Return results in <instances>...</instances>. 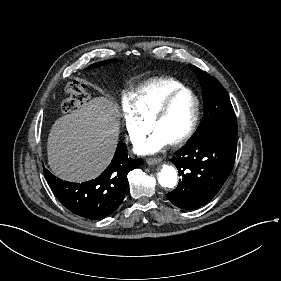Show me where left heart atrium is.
<instances>
[{"mask_svg": "<svg viewBox=\"0 0 281 281\" xmlns=\"http://www.w3.org/2000/svg\"><path fill=\"white\" fill-rule=\"evenodd\" d=\"M169 142L159 133L152 135L136 147V153L139 155H153L162 151Z\"/></svg>", "mask_w": 281, "mask_h": 281, "instance_id": "39dd6f15", "label": "left heart atrium"}]
</instances>
